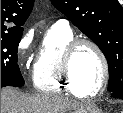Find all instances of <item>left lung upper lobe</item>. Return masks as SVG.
Masks as SVG:
<instances>
[{
	"label": "left lung upper lobe",
	"instance_id": "1",
	"mask_svg": "<svg viewBox=\"0 0 123 113\" xmlns=\"http://www.w3.org/2000/svg\"><path fill=\"white\" fill-rule=\"evenodd\" d=\"M99 46L109 66L108 91L123 99V8L118 0H51Z\"/></svg>",
	"mask_w": 123,
	"mask_h": 113
}]
</instances>
